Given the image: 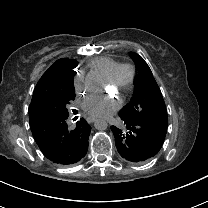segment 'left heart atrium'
I'll return each mask as SVG.
<instances>
[{
  "label": "left heart atrium",
  "mask_w": 208,
  "mask_h": 208,
  "mask_svg": "<svg viewBox=\"0 0 208 208\" xmlns=\"http://www.w3.org/2000/svg\"><path fill=\"white\" fill-rule=\"evenodd\" d=\"M81 108L87 114L102 117L112 113L116 108V103L90 95L81 102Z\"/></svg>",
  "instance_id": "1"
}]
</instances>
